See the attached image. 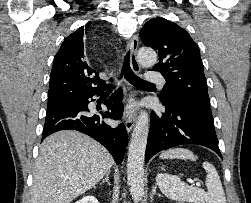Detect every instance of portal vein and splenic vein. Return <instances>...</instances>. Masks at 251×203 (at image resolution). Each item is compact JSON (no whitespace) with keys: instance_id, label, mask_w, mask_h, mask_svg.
Returning <instances> with one entry per match:
<instances>
[{"instance_id":"obj_1","label":"portal vein and splenic vein","mask_w":251,"mask_h":203,"mask_svg":"<svg viewBox=\"0 0 251 203\" xmlns=\"http://www.w3.org/2000/svg\"><path fill=\"white\" fill-rule=\"evenodd\" d=\"M193 185H196L197 187H201L200 182L193 183Z\"/></svg>"}]
</instances>
